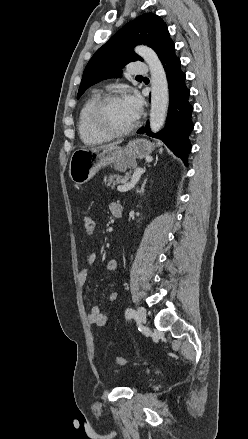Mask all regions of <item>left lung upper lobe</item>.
<instances>
[{
    "label": "left lung upper lobe",
    "instance_id": "1",
    "mask_svg": "<svg viewBox=\"0 0 248 439\" xmlns=\"http://www.w3.org/2000/svg\"><path fill=\"white\" fill-rule=\"evenodd\" d=\"M173 43L165 22L153 13L140 15L127 23L100 47L88 62L77 98L91 85L110 77L121 76V69L129 62L143 59L134 53L136 45H147L158 55Z\"/></svg>",
    "mask_w": 248,
    "mask_h": 439
}]
</instances>
